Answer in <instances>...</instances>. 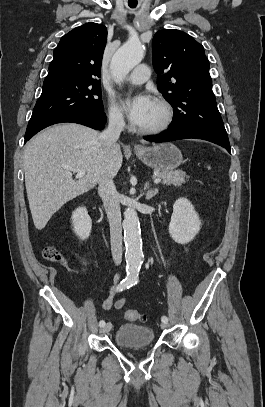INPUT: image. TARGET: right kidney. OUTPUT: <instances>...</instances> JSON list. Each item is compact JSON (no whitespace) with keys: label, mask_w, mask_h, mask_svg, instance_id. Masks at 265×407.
<instances>
[{"label":"right kidney","mask_w":265,"mask_h":407,"mask_svg":"<svg viewBox=\"0 0 265 407\" xmlns=\"http://www.w3.org/2000/svg\"><path fill=\"white\" fill-rule=\"evenodd\" d=\"M72 225L75 234L82 240L90 236L92 220L85 207L77 208L72 214Z\"/></svg>","instance_id":"right-kidney-1"}]
</instances>
